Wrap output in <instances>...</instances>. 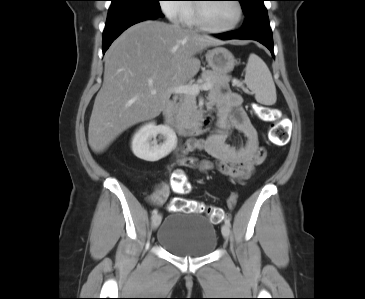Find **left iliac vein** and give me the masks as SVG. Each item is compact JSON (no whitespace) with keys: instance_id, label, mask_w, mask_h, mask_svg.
Returning <instances> with one entry per match:
<instances>
[{"instance_id":"left-iliac-vein-1","label":"left iliac vein","mask_w":365,"mask_h":299,"mask_svg":"<svg viewBox=\"0 0 365 299\" xmlns=\"http://www.w3.org/2000/svg\"><path fill=\"white\" fill-rule=\"evenodd\" d=\"M222 235L224 238H228L230 236V226L227 224H224L221 228Z\"/></svg>"}]
</instances>
